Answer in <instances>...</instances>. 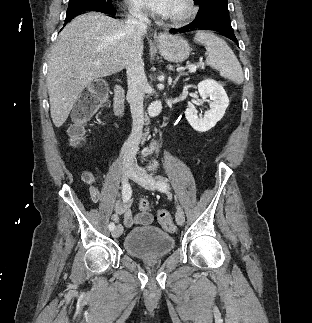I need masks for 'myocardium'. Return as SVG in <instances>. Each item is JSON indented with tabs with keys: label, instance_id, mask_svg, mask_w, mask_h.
I'll list each match as a JSON object with an SVG mask.
<instances>
[{
	"label": "myocardium",
	"instance_id": "f54148a6",
	"mask_svg": "<svg viewBox=\"0 0 312 323\" xmlns=\"http://www.w3.org/2000/svg\"><path fill=\"white\" fill-rule=\"evenodd\" d=\"M175 3L171 5L174 12L172 19L177 25L183 23L187 25L189 21H195L197 19L196 10H198V3H194V0H174Z\"/></svg>",
	"mask_w": 312,
	"mask_h": 323
}]
</instances>
